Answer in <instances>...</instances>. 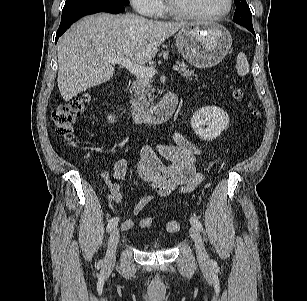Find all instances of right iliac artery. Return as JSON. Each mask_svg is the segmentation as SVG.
Returning a JSON list of instances; mask_svg holds the SVG:
<instances>
[{
	"label": "right iliac artery",
	"mask_w": 307,
	"mask_h": 301,
	"mask_svg": "<svg viewBox=\"0 0 307 301\" xmlns=\"http://www.w3.org/2000/svg\"><path fill=\"white\" fill-rule=\"evenodd\" d=\"M119 221L118 217H114L112 219H110L108 225H107V231H111L115 226H117V223Z\"/></svg>",
	"instance_id": "82829eb1"
}]
</instances>
